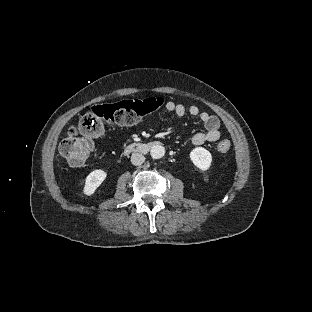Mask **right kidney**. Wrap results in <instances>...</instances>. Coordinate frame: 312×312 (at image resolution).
I'll list each match as a JSON object with an SVG mask.
<instances>
[{
  "label": "right kidney",
  "mask_w": 312,
  "mask_h": 312,
  "mask_svg": "<svg viewBox=\"0 0 312 312\" xmlns=\"http://www.w3.org/2000/svg\"><path fill=\"white\" fill-rule=\"evenodd\" d=\"M107 174L103 170H95L91 172L85 181L83 192L85 195H92L100 184L105 180Z\"/></svg>",
  "instance_id": "right-kidney-1"
}]
</instances>
